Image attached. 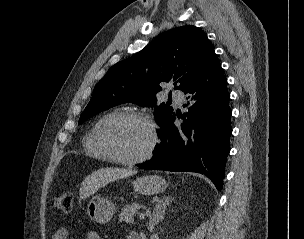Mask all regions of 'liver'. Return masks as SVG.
<instances>
[{
  "label": "liver",
  "mask_w": 304,
  "mask_h": 239,
  "mask_svg": "<svg viewBox=\"0 0 304 239\" xmlns=\"http://www.w3.org/2000/svg\"><path fill=\"white\" fill-rule=\"evenodd\" d=\"M134 174H136V171L124 168H102L94 171L83 180L80 187V198L85 200L110 182Z\"/></svg>",
  "instance_id": "6515ba94"
}]
</instances>
